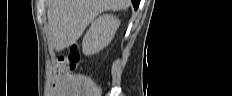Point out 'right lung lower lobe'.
<instances>
[{"instance_id": "98d812e1", "label": "right lung lower lobe", "mask_w": 232, "mask_h": 96, "mask_svg": "<svg viewBox=\"0 0 232 96\" xmlns=\"http://www.w3.org/2000/svg\"><path fill=\"white\" fill-rule=\"evenodd\" d=\"M131 1H132L133 6H134V9L136 10L139 6L140 0H131Z\"/></svg>"}]
</instances>
